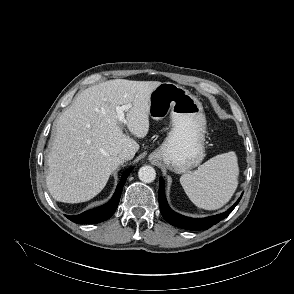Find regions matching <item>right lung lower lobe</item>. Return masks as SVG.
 I'll list each match as a JSON object with an SVG mask.
<instances>
[{
    "mask_svg": "<svg viewBox=\"0 0 294 294\" xmlns=\"http://www.w3.org/2000/svg\"><path fill=\"white\" fill-rule=\"evenodd\" d=\"M129 173H130V170L124 173L122 179L120 180L117 186L114 196L108 203L98 208L88 210L82 214H79L76 216H66V217L77 224H93V223H99L109 219L112 216V214L115 212L118 206L121 192Z\"/></svg>",
    "mask_w": 294,
    "mask_h": 294,
    "instance_id": "right-lung-lower-lobe-1",
    "label": "right lung lower lobe"
}]
</instances>
